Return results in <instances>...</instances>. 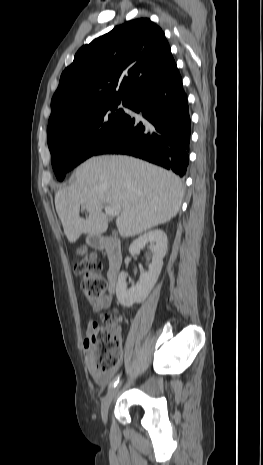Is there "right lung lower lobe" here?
<instances>
[{
	"instance_id": "right-lung-lower-lobe-1",
	"label": "right lung lower lobe",
	"mask_w": 263,
	"mask_h": 465,
	"mask_svg": "<svg viewBox=\"0 0 263 465\" xmlns=\"http://www.w3.org/2000/svg\"><path fill=\"white\" fill-rule=\"evenodd\" d=\"M126 107L139 117L125 114L95 155H133L184 176L189 160L191 122L177 66L134 92Z\"/></svg>"
}]
</instances>
